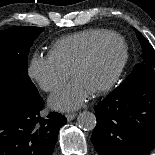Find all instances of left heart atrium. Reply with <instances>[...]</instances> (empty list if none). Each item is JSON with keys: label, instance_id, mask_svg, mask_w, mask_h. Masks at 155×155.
Instances as JSON below:
<instances>
[{"label": "left heart atrium", "instance_id": "obj_1", "mask_svg": "<svg viewBox=\"0 0 155 155\" xmlns=\"http://www.w3.org/2000/svg\"><path fill=\"white\" fill-rule=\"evenodd\" d=\"M92 93L79 81L74 79L66 88L49 99L52 108L72 111L81 107Z\"/></svg>", "mask_w": 155, "mask_h": 155}]
</instances>
